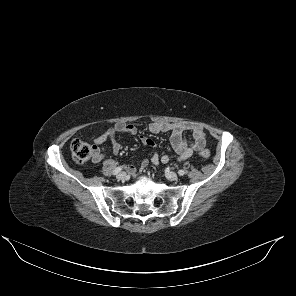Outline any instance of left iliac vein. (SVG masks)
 I'll return each instance as SVG.
<instances>
[{
    "label": "left iliac vein",
    "mask_w": 296,
    "mask_h": 296,
    "mask_svg": "<svg viewBox=\"0 0 296 296\" xmlns=\"http://www.w3.org/2000/svg\"><path fill=\"white\" fill-rule=\"evenodd\" d=\"M166 178L170 181H175L178 179V175L173 171H166Z\"/></svg>",
    "instance_id": "left-iliac-vein-1"
}]
</instances>
